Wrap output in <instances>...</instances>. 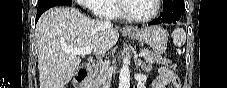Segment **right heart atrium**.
<instances>
[{
  "mask_svg": "<svg viewBox=\"0 0 227 88\" xmlns=\"http://www.w3.org/2000/svg\"><path fill=\"white\" fill-rule=\"evenodd\" d=\"M104 0H78L81 5H85L89 10L97 14V5L102 3ZM99 15V14H97ZM104 14L102 13V16Z\"/></svg>",
  "mask_w": 227,
  "mask_h": 88,
  "instance_id": "obj_1",
  "label": "right heart atrium"
}]
</instances>
